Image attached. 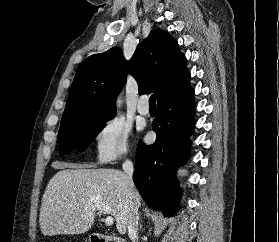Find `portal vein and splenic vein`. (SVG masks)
<instances>
[{"label":"portal vein and splenic vein","mask_w":279,"mask_h":242,"mask_svg":"<svg viewBox=\"0 0 279 242\" xmlns=\"http://www.w3.org/2000/svg\"><path fill=\"white\" fill-rule=\"evenodd\" d=\"M104 222H105V224H106L107 226H111V225L113 224V222H114V219H113L111 216H107V217L105 218Z\"/></svg>","instance_id":"portal-vein-and-splenic-vein-1"}]
</instances>
